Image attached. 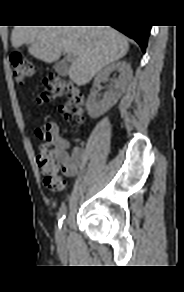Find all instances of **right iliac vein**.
<instances>
[{"label":"right iliac vein","instance_id":"obj_1","mask_svg":"<svg viewBox=\"0 0 184 292\" xmlns=\"http://www.w3.org/2000/svg\"><path fill=\"white\" fill-rule=\"evenodd\" d=\"M58 241H63L65 239V226L61 227L58 235H57Z\"/></svg>","mask_w":184,"mask_h":292}]
</instances>
